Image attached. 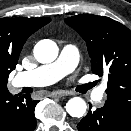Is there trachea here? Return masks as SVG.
<instances>
[{
	"mask_svg": "<svg viewBox=\"0 0 131 131\" xmlns=\"http://www.w3.org/2000/svg\"><path fill=\"white\" fill-rule=\"evenodd\" d=\"M93 86H94V83H90V84L87 85L88 88H91Z\"/></svg>",
	"mask_w": 131,
	"mask_h": 131,
	"instance_id": "trachea-1",
	"label": "trachea"
}]
</instances>
